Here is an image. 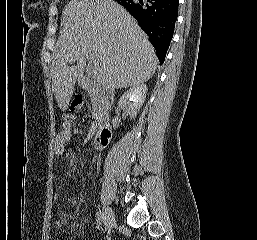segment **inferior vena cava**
<instances>
[{"label":"inferior vena cava","instance_id":"602c4592","mask_svg":"<svg viewBox=\"0 0 257 240\" xmlns=\"http://www.w3.org/2000/svg\"><path fill=\"white\" fill-rule=\"evenodd\" d=\"M109 89H110V93L112 94V97H113V91H114V86H109Z\"/></svg>","mask_w":257,"mask_h":240}]
</instances>
